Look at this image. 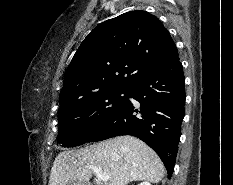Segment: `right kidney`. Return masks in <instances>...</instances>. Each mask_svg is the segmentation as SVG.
Listing matches in <instances>:
<instances>
[{
  "instance_id": "right-kidney-1",
  "label": "right kidney",
  "mask_w": 233,
  "mask_h": 185,
  "mask_svg": "<svg viewBox=\"0 0 233 185\" xmlns=\"http://www.w3.org/2000/svg\"><path fill=\"white\" fill-rule=\"evenodd\" d=\"M138 185H151V184L149 182H142V183H140Z\"/></svg>"
}]
</instances>
